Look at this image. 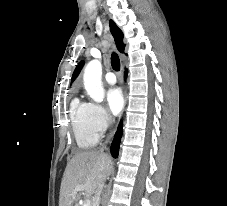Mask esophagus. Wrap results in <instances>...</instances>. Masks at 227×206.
<instances>
[{
  "label": "esophagus",
  "mask_w": 227,
  "mask_h": 206,
  "mask_svg": "<svg viewBox=\"0 0 227 206\" xmlns=\"http://www.w3.org/2000/svg\"><path fill=\"white\" fill-rule=\"evenodd\" d=\"M126 101H127V98H126V96H125V103H126Z\"/></svg>",
  "instance_id": "34e87169"
}]
</instances>
